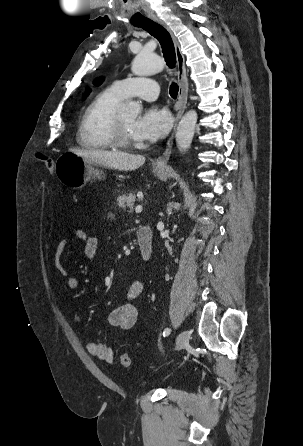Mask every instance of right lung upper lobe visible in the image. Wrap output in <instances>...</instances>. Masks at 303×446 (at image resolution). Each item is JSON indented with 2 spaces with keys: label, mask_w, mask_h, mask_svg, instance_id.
Returning <instances> with one entry per match:
<instances>
[{
  "label": "right lung upper lobe",
  "mask_w": 303,
  "mask_h": 446,
  "mask_svg": "<svg viewBox=\"0 0 303 446\" xmlns=\"http://www.w3.org/2000/svg\"><path fill=\"white\" fill-rule=\"evenodd\" d=\"M101 82H102V79H98L97 81H95V85L98 86V85L101 84ZM89 92H91V90H90L89 88H87V93H86V95L84 96V98L88 96Z\"/></svg>",
  "instance_id": "obj_1"
}]
</instances>
